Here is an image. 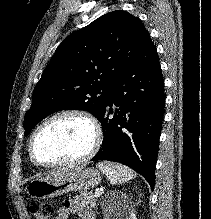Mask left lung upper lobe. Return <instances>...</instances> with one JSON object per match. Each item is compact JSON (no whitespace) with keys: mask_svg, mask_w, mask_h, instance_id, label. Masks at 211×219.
<instances>
[{"mask_svg":"<svg viewBox=\"0 0 211 219\" xmlns=\"http://www.w3.org/2000/svg\"><path fill=\"white\" fill-rule=\"evenodd\" d=\"M148 39L143 23L122 10L107 13L68 36L33 91L24 119L25 135L60 110H85L98 118L110 89Z\"/></svg>","mask_w":211,"mask_h":219,"instance_id":"5c2ea615","label":"left lung upper lobe"}]
</instances>
